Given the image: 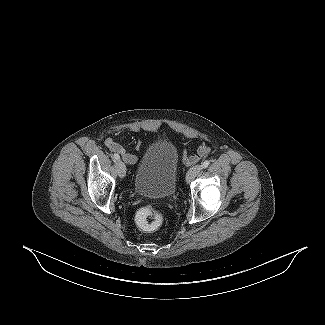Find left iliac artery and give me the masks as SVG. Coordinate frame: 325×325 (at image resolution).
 Listing matches in <instances>:
<instances>
[{
    "label": "left iliac artery",
    "mask_w": 325,
    "mask_h": 325,
    "mask_svg": "<svg viewBox=\"0 0 325 325\" xmlns=\"http://www.w3.org/2000/svg\"><path fill=\"white\" fill-rule=\"evenodd\" d=\"M209 164H210V161L209 160H205L203 163H202V168H206V167H208L209 166Z\"/></svg>",
    "instance_id": "left-iliac-artery-1"
}]
</instances>
